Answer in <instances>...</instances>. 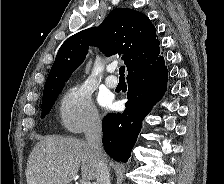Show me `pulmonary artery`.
I'll return each instance as SVG.
<instances>
[{"instance_id": "e3ab8cb5", "label": "pulmonary artery", "mask_w": 224, "mask_h": 184, "mask_svg": "<svg viewBox=\"0 0 224 184\" xmlns=\"http://www.w3.org/2000/svg\"><path fill=\"white\" fill-rule=\"evenodd\" d=\"M108 71H109L110 73H113V72L115 71V66L110 65V66L108 67ZM105 84H106V86L109 87V88H115V87L118 85V80H117V78H116L115 76H113V75H109V76H107V77L105 78Z\"/></svg>"}]
</instances>
